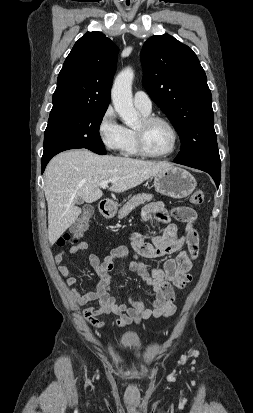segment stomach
Returning a JSON list of instances; mask_svg holds the SVG:
<instances>
[{
    "instance_id": "obj_1",
    "label": "stomach",
    "mask_w": 253,
    "mask_h": 413,
    "mask_svg": "<svg viewBox=\"0 0 253 413\" xmlns=\"http://www.w3.org/2000/svg\"><path fill=\"white\" fill-rule=\"evenodd\" d=\"M154 187L160 194L182 199L192 194L196 180L188 171L172 166L154 175Z\"/></svg>"
}]
</instances>
